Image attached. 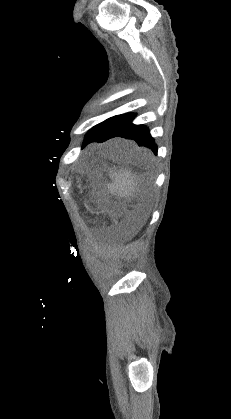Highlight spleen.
<instances>
[{"label": "spleen", "mask_w": 231, "mask_h": 419, "mask_svg": "<svg viewBox=\"0 0 231 419\" xmlns=\"http://www.w3.org/2000/svg\"><path fill=\"white\" fill-rule=\"evenodd\" d=\"M111 176L113 183L108 185L110 192L120 197H131L138 190V178L131 170H119Z\"/></svg>", "instance_id": "spleen-1"}]
</instances>
